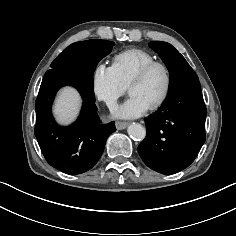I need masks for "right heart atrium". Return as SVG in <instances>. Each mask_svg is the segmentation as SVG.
I'll list each match as a JSON object with an SVG mask.
<instances>
[{
    "mask_svg": "<svg viewBox=\"0 0 236 236\" xmlns=\"http://www.w3.org/2000/svg\"><path fill=\"white\" fill-rule=\"evenodd\" d=\"M90 82L93 95L109 108L116 106L119 97L127 89L119 79L114 67L107 66L104 63H98L93 67Z\"/></svg>",
    "mask_w": 236,
    "mask_h": 236,
    "instance_id": "right-heart-atrium-1",
    "label": "right heart atrium"
}]
</instances>
